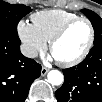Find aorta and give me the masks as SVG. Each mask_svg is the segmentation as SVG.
I'll list each match as a JSON object with an SVG mask.
<instances>
[{
  "instance_id": "762f6f07",
  "label": "aorta",
  "mask_w": 102,
  "mask_h": 102,
  "mask_svg": "<svg viewBox=\"0 0 102 102\" xmlns=\"http://www.w3.org/2000/svg\"><path fill=\"white\" fill-rule=\"evenodd\" d=\"M48 82L52 85H61L64 81L63 74L58 70H51L47 75Z\"/></svg>"
}]
</instances>
